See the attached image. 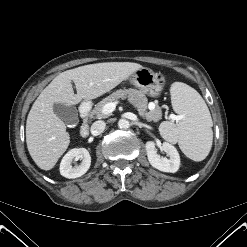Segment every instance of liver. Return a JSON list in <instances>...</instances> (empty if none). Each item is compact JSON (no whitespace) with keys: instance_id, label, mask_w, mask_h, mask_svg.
<instances>
[{"instance_id":"liver-1","label":"liver","mask_w":247,"mask_h":247,"mask_svg":"<svg viewBox=\"0 0 247 247\" xmlns=\"http://www.w3.org/2000/svg\"><path fill=\"white\" fill-rule=\"evenodd\" d=\"M140 68L137 63L105 62L80 66L56 76L35 100L27 117L26 143L36 165L46 171L52 169L70 143L65 123L54 113V104L72 106L82 99L100 97Z\"/></svg>"}]
</instances>
